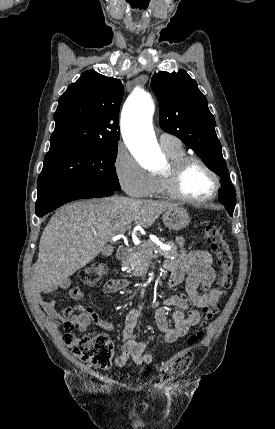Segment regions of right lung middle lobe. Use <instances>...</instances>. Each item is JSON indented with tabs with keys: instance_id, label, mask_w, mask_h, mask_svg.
Segmentation results:
<instances>
[{
	"instance_id": "1",
	"label": "right lung middle lobe",
	"mask_w": 275,
	"mask_h": 429,
	"mask_svg": "<svg viewBox=\"0 0 275 429\" xmlns=\"http://www.w3.org/2000/svg\"><path fill=\"white\" fill-rule=\"evenodd\" d=\"M118 144L50 150L38 177L37 197L78 185L120 190L114 163Z\"/></svg>"
}]
</instances>
